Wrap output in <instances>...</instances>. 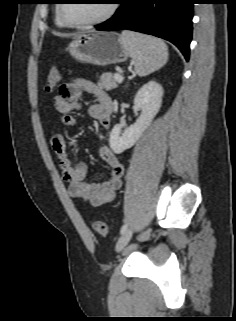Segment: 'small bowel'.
<instances>
[{"mask_svg": "<svg viewBox=\"0 0 236 321\" xmlns=\"http://www.w3.org/2000/svg\"><path fill=\"white\" fill-rule=\"evenodd\" d=\"M83 92L93 94L97 98L89 107V114L99 121L104 130H109L112 126L110 98L101 87L83 78H75L66 83L54 97L53 105L61 116L62 124L67 127L78 125V119L72 116L71 112L82 108L80 99ZM51 146L58 157L71 196L81 198L93 206H101L114 199L122 184L124 166L109 147L101 146L98 149L99 157L110 168L109 178L102 183H92L86 181V164L83 161L73 163L69 159L66 140L61 133L52 135Z\"/></svg>", "mask_w": 236, "mask_h": 321, "instance_id": "small-bowel-1", "label": "small bowel"}]
</instances>
